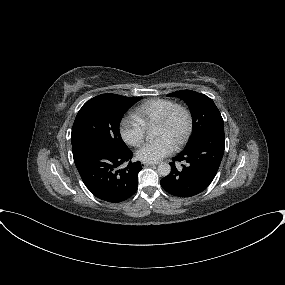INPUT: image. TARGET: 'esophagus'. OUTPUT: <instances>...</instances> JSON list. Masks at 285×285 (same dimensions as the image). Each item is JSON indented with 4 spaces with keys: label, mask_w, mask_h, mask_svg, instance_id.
I'll use <instances>...</instances> for the list:
<instances>
[{
    "label": "esophagus",
    "mask_w": 285,
    "mask_h": 285,
    "mask_svg": "<svg viewBox=\"0 0 285 285\" xmlns=\"http://www.w3.org/2000/svg\"><path fill=\"white\" fill-rule=\"evenodd\" d=\"M152 165H154V164H153V163H145V162H142V166H143L144 168L149 167V166H152Z\"/></svg>",
    "instance_id": "1"
}]
</instances>
